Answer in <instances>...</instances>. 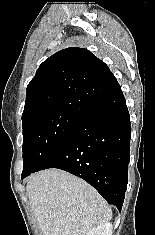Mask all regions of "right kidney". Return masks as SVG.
<instances>
[{
  "instance_id": "ca27d5eb",
  "label": "right kidney",
  "mask_w": 155,
  "mask_h": 235,
  "mask_svg": "<svg viewBox=\"0 0 155 235\" xmlns=\"http://www.w3.org/2000/svg\"><path fill=\"white\" fill-rule=\"evenodd\" d=\"M112 228V224L106 222L92 229L87 235H112Z\"/></svg>"
}]
</instances>
